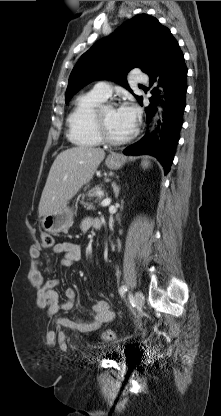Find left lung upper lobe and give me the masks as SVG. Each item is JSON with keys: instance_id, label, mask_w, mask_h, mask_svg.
<instances>
[{"instance_id": "5c2ea615", "label": "left lung upper lobe", "mask_w": 221, "mask_h": 416, "mask_svg": "<svg viewBox=\"0 0 221 416\" xmlns=\"http://www.w3.org/2000/svg\"><path fill=\"white\" fill-rule=\"evenodd\" d=\"M168 30L155 17L139 14L122 24L110 37L96 42L80 57L70 74L66 103L94 79H114L132 92L126 80L128 71L135 67L143 72L147 70ZM134 96L141 101L142 97Z\"/></svg>"}]
</instances>
